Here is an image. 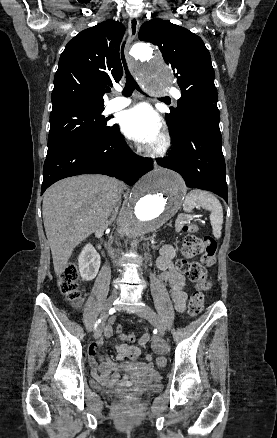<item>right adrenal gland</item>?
Listing matches in <instances>:
<instances>
[{"label": "right adrenal gland", "instance_id": "obj_1", "mask_svg": "<svg viewBox=\"0 0 277 438\" xmlns=\"http://www.w3.org/2000/svg\"><path fill=\"white\" fill-rule=\"evenodd\" d=\"M114 220H116V214H114V216H112L111 222H114Z\"/></svg>", "mask_w": 277, "mask_h": 438}]
</instances>
